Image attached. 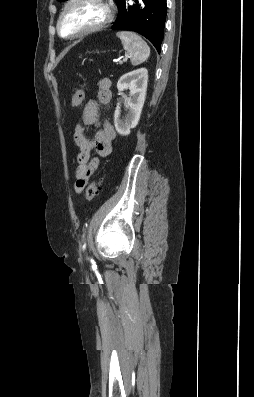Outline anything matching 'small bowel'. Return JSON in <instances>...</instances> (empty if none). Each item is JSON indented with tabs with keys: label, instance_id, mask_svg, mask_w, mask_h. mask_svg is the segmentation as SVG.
Here are the masks:
<instances>
[{
	"label": "small bowel",
	"instance_id": "obj_1",
	"mask_svg": "<svg viewBox=\"0 0 254 397\" xmlns=\"http://www.w3.org/2000/svg\"><path fill=\"white\" fill-rule=\"evenodd\" d=\"M111 80L100 79L97 83V99L86 103L77 122L74 132V141L79 150L77 167L75 170V191L80 193L86 187L89 178L99 165L100 158H106L112 151V141L116 136L114 127L109 121L102 122L99 117V105H108L111 101ZM87 127L95 128L93 139L87 135ZM96 152L98 157L92 158Z\"/></svg>",
	"mask_w": 254,
	"mask_h": 397
}]
</instances>
